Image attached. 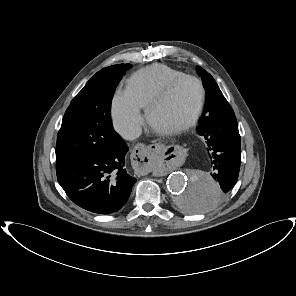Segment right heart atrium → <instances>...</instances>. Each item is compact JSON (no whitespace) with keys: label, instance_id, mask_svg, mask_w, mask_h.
Returning a JSON list of instances; mask_svg holds the SVG:
<instances>
[{"label":"right heart atrium","instance_id":"right-heart-atrium-1","mask_svg":"<svg viewBox=\"0 0 296 296\" xmlns=\"http://www.w3.org/2000/svg\"><path fill=\"white\" fill-rule=\"evenodd\" d=\"M111 116L115 129L125 138L132 139L139 133L143 123L141 107L127 91L114 93L111 103Z\"/></svg>","mask_w":296,"mask_h":296}]
</instances>
